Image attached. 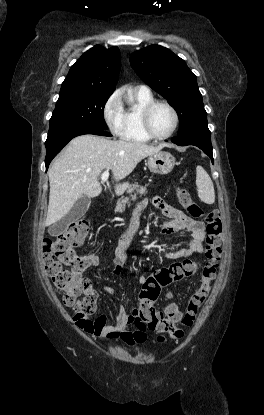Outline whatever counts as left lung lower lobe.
Listing matches in <instances>:
<instances>
[{"instance_id": "0a47b994", "label": "left lung lower lobe", "mask_w": 264, "mask_h": 415, "mask_svg": "<svg viewBox=\"0 0 264 415\" xmlns=\"http://www.w3.org/2000/svg\"><path fill=\"white\" fill-rule=\"evenodd\" d=\"M171 142L179 146H197L211 158L213 163L211 135L207 125L192 128L177 137L172 138Z\"/></svg>"}]
</instances>
